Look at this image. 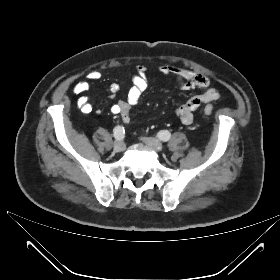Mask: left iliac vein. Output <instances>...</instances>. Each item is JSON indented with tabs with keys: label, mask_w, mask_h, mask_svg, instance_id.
Instances as JSON below:
<instances>
[{
	"label": "left iliac vein",
	"mask_w": 280,
	"mask_h": 280,
	"mask_svg": "<svg viewBox=\"0 0 280 280\" xmlns=\"http://www.w3.org/2000/svg\"><path fill=\"white\" fill-rule=\"evenodd\" d=\"M143 142L155 151H161L163 149V145L158 139L147 137L143 138Z\"/></svg>",
	"instance_id": "1"
}]
</instances>
